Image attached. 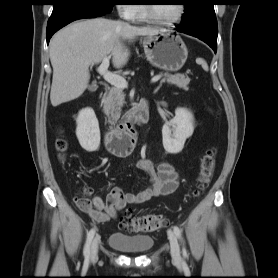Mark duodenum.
<instances>
[{"mask_svg": "<svg viewBox=\"0 0 278 278\" xmlns=\"http://www.w3.org/2000/svg\"><path fill=\"white\" fill-rule=\"evenodd\" d=\"M149 120L148 103L145 100L130 109L123 120L105 133L106 148L118 156L127 155L136 140V126Z\"/></svg>", "mask_w": 278, "mask_h": 278, "instance_id": "obj_1", "label": "duodenum"}]
</instances>
